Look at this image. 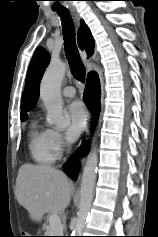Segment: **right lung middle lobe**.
I'll use <instances>...</instances> for the list:
<instances>
[{
	"instance_id": "1",
	"label": "right lung middle lobe",
	"mask_w": 158,
	"mask_h": 237,
	"mask_svg": "<svg viewBox=\"0 0 158 237\" xmlns=\"http://www.w3.org/2000/svg\"><path fill=\"white\" fill-rule=\"evenodd\" d=\"M27 119V116H21V120L25 121Z\"/></svg>"
}]
</instances>
